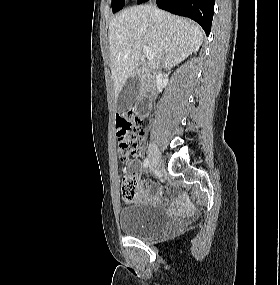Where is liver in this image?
I'll use <instances>...</instances> for the list:
<instances>
[{"label":"liver","mask_w":280,"mask_h":285,"mask_svg":"<svg viewBox=\"0 0 280 285\" xmlns=\"http://www.w3.org/2000/svg\"><path fill=\"white\" fill-rule=\"evenodd\" d=\"M203 42V31L188 19L160 11L151 5L130 7L109 24L111 73L117 99L127 79L139 65L142 49L147 45L154 58L142 64L150 73L163 66L170 69L197 52Z\"/></svg>","instance_id":"liver-1"}]
</instances>
